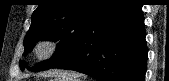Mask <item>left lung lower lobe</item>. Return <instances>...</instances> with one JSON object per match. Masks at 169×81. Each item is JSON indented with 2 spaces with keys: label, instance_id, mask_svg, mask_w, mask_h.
<instances>
[{
  "label": "left lung lower lobe",
  "instance_id": "obj_1",
  "mask_svg": "<svg viewBox=\"0 0 169 81\" xmlns=\"http://www.w3.org/2000/svg\"><path fill=\"white\" fill-rule=\"evenodd\" d=\"M147 54L142 4L113 0L87 26L71 56L54 68L100 81H144Z\"/></svg>",
  "mask_w": 169,
  "mask_h": 81
}]
</instances>
